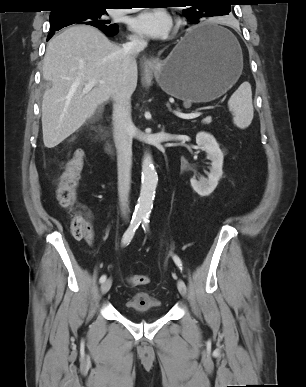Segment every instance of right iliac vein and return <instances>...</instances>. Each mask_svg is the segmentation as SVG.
Listing matches in <instances>:
<instances>
[{"label": "right iliac vein", "instance_id": "right-iliac-vein-1", "mask_svg": "<svg viewBox=\"0 0 306 387\" xmlns=\"http://www.w3.org/2000/svg\"><path fill=\"white\" fill-rule=\"evenodd\" d=\"M111 285H112L111 279H107L105 282H103V284L101 285V293L106 294L110 290Z\"/></svg>", "mask_w": 306, "mask_h": 387}]
</instances>
